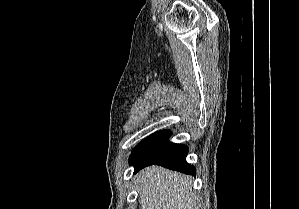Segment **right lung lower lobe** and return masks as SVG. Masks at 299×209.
I'll list each match as a JSON object with an SVG mask.
<instances>
[{
	"label": "right lung lower lobe",
	"instance_id": "1",
	"mask_svg": "<svg viewBox=\"0 0 299 209\" xmlns=\"http://www.w3.org/2000/svg\"><path fill=\"white\" fill-rule=\"evenodd\" d=\"M169 130L156 132L142 140L132 151L129 164L134 166V173L142 168L157 164L168 169L195 176L196 169L186 162L188 147L171 143Z\"/></svg>",
	"mask_w": 299,
	"mask_h": 209
}]
</instances>
